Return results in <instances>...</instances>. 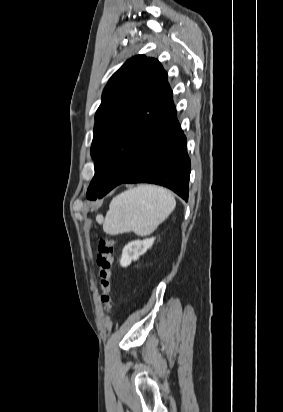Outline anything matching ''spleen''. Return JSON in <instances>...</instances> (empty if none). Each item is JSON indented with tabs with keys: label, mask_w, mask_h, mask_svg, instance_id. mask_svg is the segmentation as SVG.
Listing matches in <instances>:
<instances>
[{
	"label": "spleen",
	"mask_w": 283,
	"mask_h": 412,
	"mask_svg": "<svg viewBox=\"0 0 283 412\" xmlns=\"http://www.w3.org/2000/svg\"><path fill=\"white\" fill-rule=\"evenodd\" d=\"M176 206L173 194L163 187L140 185L114 197L103 222L109 235L153 233Z\"/></svg>",
	"instance_id": "1"
}]
</instances>
